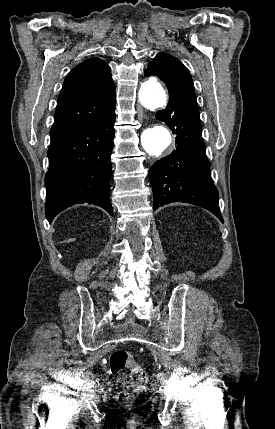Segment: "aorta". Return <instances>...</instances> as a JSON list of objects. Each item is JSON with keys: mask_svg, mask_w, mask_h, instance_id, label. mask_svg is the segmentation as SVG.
Here are the masks:
<instances>
[{"mask_svg": "<svg viewBox=\"0 0 275 429\" xmlns=\"http://www.w3.org/2000/svg\"><path fill=\"white\" fill-rule=\"evenodd\" d=\"M138 96L140 103L150 110L163 107L167 101L164 88L155 78H151L141 85ZM171 143L170 131L162 125L146 128L141 134V144L144 150L152 156H159Z\"/></svg>", "mask_w": 275, "mask_h": 429, "instance_id": "1", "label": "aorta"}]
</instances>
